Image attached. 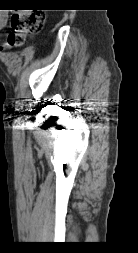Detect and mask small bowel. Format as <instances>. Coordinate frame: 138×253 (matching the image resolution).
Listing matches in <instances>:
<instances>
[{"label":"small bowel","mask_w":138,"mask_h":253,"mask_svg":"<svg viewBox=\"0 0 138 253\" xmlns=\"http://www.w3.org/2000/svg\"><path fill=\"white\" fill-rule=\"evenodd\" d=\"M7 23V16L5 13H0V31H2ZM7 47L6 43L0 44V51H3Z\"/></svg>","instance_id":"c3829d8e"}]
</instances>
